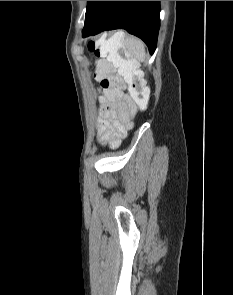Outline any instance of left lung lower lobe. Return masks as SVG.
Instances as JSON below:
<instances>
[{
    "mask_svg": "<svg viewBox=\"0 0 233 295\" xmlns=\"http://www.w3.org/2000/svg\"><path fill=\"white\" fill-rule=\"evenodd\" d=\"M160 27V1H95L82 36L123 28L141 38L153 54Z\"/></svg>",
    "mask_w": 233,
    "mask_h": 295,
    "instance_id": "1",
    "label": "left lung lower lobe"
}]
</instances>
